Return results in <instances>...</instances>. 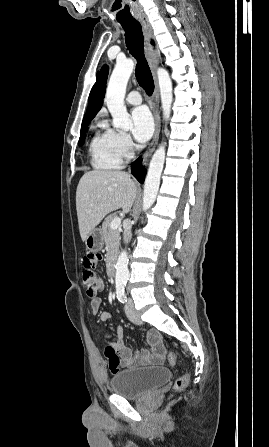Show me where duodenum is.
<instances>
[{"mask_svg": "<svg viewBox=\"0 0 269 447\" xmlns=\"http://www.w3.org/2000/svg\"><path fill=\"white\" fill-rule=\"evenodd\" d=\"M107 273L110 278H114L116 275V259L111 257L107 265Z\"/></svg>", "mask_w": 269, "mask_h": 447, "instance_id": "410a0bca", "label": "duodenum"}]
</instances>
